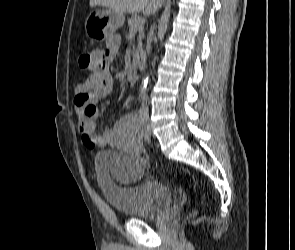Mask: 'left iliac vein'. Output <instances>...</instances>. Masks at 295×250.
<instances>
[{"instance_id":"obj_1","label":"left iliac vein","mask_w":295,"mask_h":250,"mask_svg":"<svg viewBox=\"0 0 295 250\" xmlns=\"http://www.w3.org/2000/svg\"><path fill=\"white\" fill-rule=\"evenodd\" d=\"M147 131L151 132V123L150 122H148V124H147Z\"/></svg>"}]
</instances>
